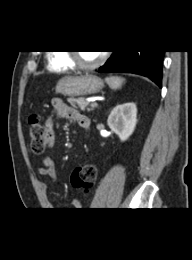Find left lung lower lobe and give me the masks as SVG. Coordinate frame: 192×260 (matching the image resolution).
<instances>
[{
	"instance_id": "0a47b994",
	"label": "left lung lower lobe",
	"mask_w": 192,
	"mask_h": 260,
	"mask_svg": "<svg viewBox=\"0 0 192 260\" xmlns=\"http://www.w3.org/2000/svg\"><path fill=\"white\" fill-rule=\"evenodd\" d=\"M164 53L162 50L116 51L98 71L143 75L161 87Z\"/></svg>"
}]
</instances>
